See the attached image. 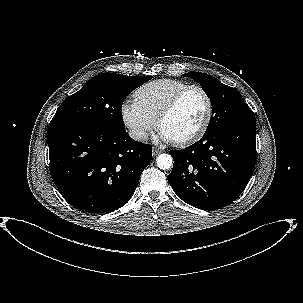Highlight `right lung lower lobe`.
Instances as JSON below:
<instances>
[{
    "mask_svg": "<svg viewBox=\"0 0 303 303\" xmlns=\"http://www.w3.org/2000/svg\"><path fill=\"white\" fill-rule=\"evenodd\" d=\"M52 179L71 205L103 214L124 206L152 158V146L123 130L93 125L49 127Z\"/></svg>",
    "mask_w": 303,
    "mask_h": 303,
    "instance_id": "obj_1",
    "label": "right lung lower lobe"
}]
</instances>
